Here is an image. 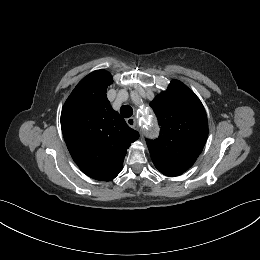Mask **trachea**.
<instances>
[{"mask_svg": "<svg viewBox=\"0 0 260 260\" xmlns=\"http://www.w3.org/2000/svg\"><path fill=\"white\" fill-rule=\"evenodd\" d=\"M120 113L124 118H129L133 114V109L129 105H123L120 108Z\"/></svg>", "mask_w": 260, "mask_h": 260, "instance_id": "obj_1", "label": "trachea"}]
</instances>
